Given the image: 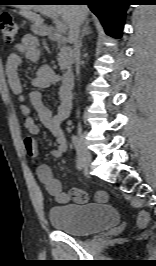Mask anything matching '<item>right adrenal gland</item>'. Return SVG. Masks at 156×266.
<instances>
[{
	"mask_svg": "<svg viewBox=\"0 0 156 266\" xmlns=\"http://www.w3.org/2000/svg\"><path fill=\"white\" fill-rule=\"evenodd\" d=\"M92 30H91V26H90V20H86L84 25H83V29H82V33H81V37H80V45L82 46V41L85 35L91 34Z\"/></svg>",
	"mask_w": 156,
	"mask_h": 266,
	"instance_id": "right-adrenal-gland-1",
	"label": "right adrenal gland"
}]
</instances>
